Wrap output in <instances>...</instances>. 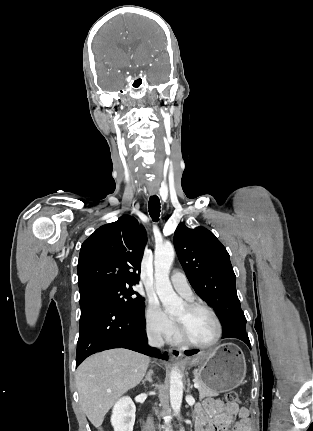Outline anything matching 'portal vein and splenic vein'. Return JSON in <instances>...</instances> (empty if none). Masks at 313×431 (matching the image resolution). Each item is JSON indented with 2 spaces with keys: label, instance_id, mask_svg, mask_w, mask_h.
Wrapping results in <instances>:
<instances>
[{
  "label": "portal vein and splenic vein",
  "instance_id": "portal-vein-and-splenic-vein-1",
  "mask_svg": "<svg viewBox=\"0 0 313 431\" xmlns=\"http://www.w3.org/2000/svg\"><path fill=\"white\" fill-rule=\"evenodd\" d=\"M199 386H200L199 383H197V382L194 383L195 388H199Z\"/></svg>",
  "mask_w": 313,
  "mask_h": 431
}]
</instances>
